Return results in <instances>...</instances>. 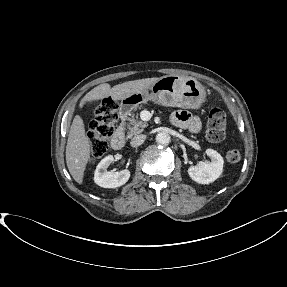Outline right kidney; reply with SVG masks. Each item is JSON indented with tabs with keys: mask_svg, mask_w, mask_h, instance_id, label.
<instances>
[{
	"mask_svg": "<svg viewBox=\"0 0 287 287\" xmlns=\"http://www.w3.org/2000/svg\"><path fill=\"white\" fill-rule=\"evenodd\" d=\"M114 162V157L108 155L96 167L94 182L103 188H117L124 185L130 178V171L125 169L120 172L107 171L108 166Z\"/></svg>",
	"mask_w": 287,
	"mask_h": 287,
	"instance_id": "obj_1",
	"label": "right kidney"
}]
</instances>
